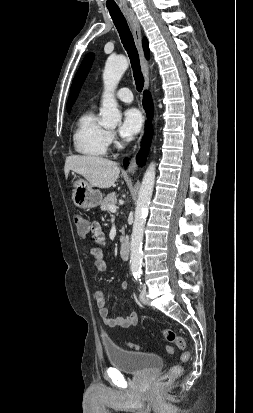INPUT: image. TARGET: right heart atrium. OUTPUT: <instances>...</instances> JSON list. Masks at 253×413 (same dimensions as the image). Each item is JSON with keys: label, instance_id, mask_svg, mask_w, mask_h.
Listing matches in <instances>:
<instances>
[{"label": "right heart atrium", "instance_id": "right-heart-atrium-1", "mask_svg": "<svg viewBox=\"0 0 253 413\" xmlns=\"http://www.w3.org/2000/svg\"><path fill=\"white\" fill-rule=\"evenodd\" d=\"M107 137H108V143H109V144L114 143L115 138H114V134H113V133L108 132Z\"/></svg>", "mask_w": 253, "mask_h": 413}]
</instances>
